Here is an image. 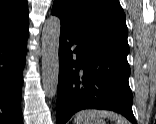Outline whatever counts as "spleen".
<instances>
[{"label":"spleen","instance_id":"spleen-1","mask_svg":"<svg viewBox=\"0 0 156 124\" xmlns=\"http://www.w3.org/2000/svg\"><path fill=\"white\" fill-rule=\"evenodd\" d=\"M108 118L115 124H128L127 120L112 111L88 109L78 112L74 118V124H89L93 119Z\"/></svg>","mask_w":156,"mask_h":124}]
</instances>
